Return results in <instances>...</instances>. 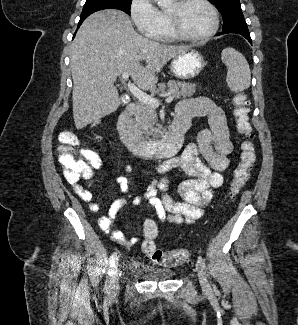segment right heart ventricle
I'll use <instances>...</instances> for the list:
<instances>
[{"instance_id": "1", "label": "right heart ventricle", "mask_w": 298, "mask_h": 325, "mask_svg": "<svg viewBox=\"0 0 298 325\" xmlns=\"http://www.w3.org/2000/svg\"><path fill=\"white\" fill-rule=\"evenodd\" d=\"M159 16L163 23L162 27H164V29L166 30V16L163 10H159ZM164 39L165 41H170V42L174 41V39L167 33L165 34Z\"/></svg>"}]
</instances>
